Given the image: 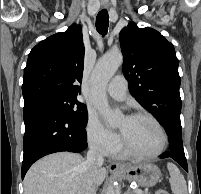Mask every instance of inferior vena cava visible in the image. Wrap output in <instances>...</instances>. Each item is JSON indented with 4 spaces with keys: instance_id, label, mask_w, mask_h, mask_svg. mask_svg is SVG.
Returning <instances> with one entry per match:
<instances>
[{
    "instance_id": "602c4592",
    "label": "inferior vena cava",
    "mask_w": 201,
    "mask_h": 194,
    "mask_svg": "<svg viewBox=\"0 0 201 194\" xmlns=\"http://www.w3.org/2000/svg\"><path fill=\"white\" fill-rule=\"evenodd\" d=\"M104 158L96 145H91L87 152V159L83 166L84 178L79 186L78 194H96L95 172L102 166Z\"/></svg>"
}]
</instances>
